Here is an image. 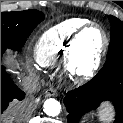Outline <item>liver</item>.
I'll return each instance as SVG.
<instances>
[{"label": "liver", "instance_id": "liver-1", "mask_svg": "<svg viewBox=\"0 0 123 123\" xmlns=\"http://www.w3.org/2000/svg\"><path fill=\"white\" fill-rule=\"evenodd\" d=\"M7 64L10 65V66H13L15 64L14 58L9 59Z\"/></svg>", "mask_w": 123, "mask_h": 123}]
</instances>
